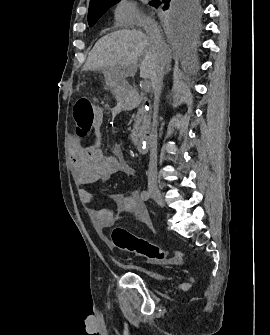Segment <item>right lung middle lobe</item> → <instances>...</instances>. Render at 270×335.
I'll return each instance as SVG.
<instances>
[{"mask_svg": "<svg viewBox=\"0 0 270 335\" xmlns=\"http://www.w3.org/2000/svg\"><path fill=\"white\" fill-rule=\"evenodd\" d=\"M167 1V0H165ZM170 1V0H169ZM203 0H173L171 3L170 11L168 12L166 19L168 22L179 28H191L194 27L201 15ZM118 2V1H117ZM105 3L98 6H89L88 11V24L93 26L98 19L115 3ZM151 6L158 8L160 5L165 4L160 0H151L149 2ZM170 6V2L163 6L166 10Z\"/></svg>", "mask_w": 270, "mask_h": 335, "instance_id": "dd1d6c3e", "label": "right lung middle lobe"}]
</instances>
